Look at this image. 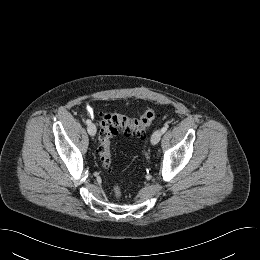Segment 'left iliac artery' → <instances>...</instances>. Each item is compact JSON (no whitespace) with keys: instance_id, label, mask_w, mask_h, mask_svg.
<instances>
[{"instance_id":"1","label":"left iliac artery","mask_w":260,"mask_h":260,"mask_svg":"<svg viewBox=\"0 0 260 260\" xmlns=\"http://www.w3.org/2000/svg\"><path fill=\"white\" fill-rule=\"evenodd\" d=\"M168 129V125L165 124L164 127L161 129L162 133L164 134Z\"/></svg>"}]
</instances>
